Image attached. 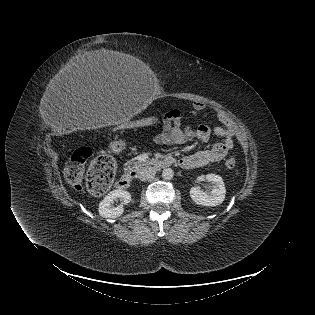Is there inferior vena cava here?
I'll list each match as a JSON object with an SVG mask.
<instances>
[{
	"label": "inferior vena cava",
	"mask_w": 315,
	"mask_h": 315,
	"mask_svg": "<svg viewBox=\"0 0 315 315\" xmlns=\"http://www.w3.org/2000/svg\"><path fill=\"white\" fill-rule=\"evenodd\" d=\"M155 174L156 170L153 167L145 166L140 170L138 177L141 181H147L152 179Z\"/></svg>",
	"instance_id": "obj_1"
}]
</instances>
